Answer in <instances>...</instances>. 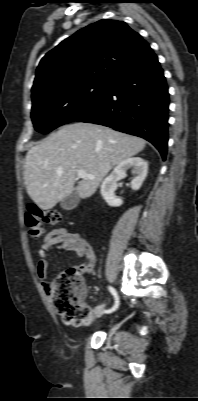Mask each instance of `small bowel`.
<instances>
[{"instance_id":"small-bowel-1","label":"small bowel","mask_w":198,"mask_h":401,"mask_svg":"<svg viewBox=\"0 0 198 401\" xmlns=\"http://www.w3.org/2000/svg\"><path fill=\"white\" fill-rule=\"evenodd\" d=\"M63 250L75 253L82 264L80 269L84 273H89L96 261V255L91 243L82 237L79 233L69 232L65 228H56L51 230L44 237L39 249L36 271L46 291L49 292L50 283L48 279L49 261L47 259L51 250Z\"/></svg>"}]
</instances>
